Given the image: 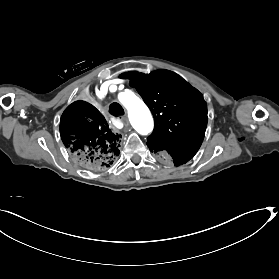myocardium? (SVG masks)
Returning a JSON list of instances; mask_svg holds the SVG:
<instances>
[{"mask_svg": "<svg viewBox=\"0 0 279 279\" xmlns=\"http://www.w3.org/2000/svg\"><path fill=\"white\" fill-rule=\"evenodd\" d=\"M107 86H108L107 83L102 84V85L100 86V90H97V93H96V94H97V97H102V95H103V90H104ZM139 101L145 103V101H144L140 96H136V97L134 98V100H133L132 103H138Z\"/></svg>", "mask_w": 279, "mask_h": 279, "instance_id": "f54148a6", "label": "myocardium"}]
</instances>
